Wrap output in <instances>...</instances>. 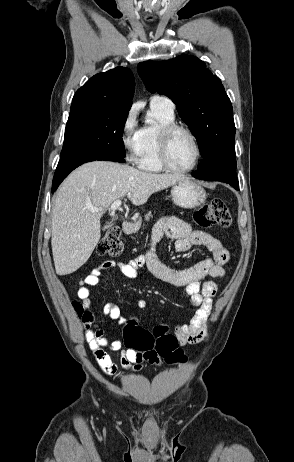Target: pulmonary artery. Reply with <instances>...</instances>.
<instances>
[{
	"mask_svg": "<svg viewBox=\"0 0 294 462\" xmlns=\"http://www.w3.org/2000/svg\"><path fill=\"white\" fill-rule=\"evenodd\" d=\"M150 106L163 108L169 112H174L175 104L171 99L161 95H154L150 99Z\"/></svg>",
	"mask_w": 294,
	"mask_h": 462,
	"instance_id": "pulmonary-artery-1",
	"label": "pulmonary artery"
}]
</instances>
